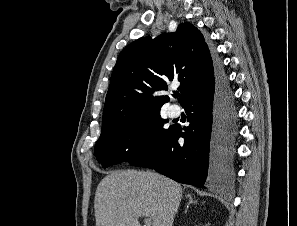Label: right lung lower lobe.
Listing matches in <instances>:
<instances>
[{
	"mask_svg": "<svg viewBox=\"0 0 297 226\" xmlns=\"http://www.w3.org/2000/svg\"><path fill=\"white\" fill-rule=\"evenodd\" d=\"M183 104L190 122L185 132L173 126L154 150L129 163L199 188L228 182L234 175L237 115L228 79L219 63H215L213 84ZM180 137L184 138L183 145L178 143Z\"/></svg>",
	"mask_w": 297,
	"mask_h": 226,
	"instance_id": "obj_1",
	"label": "right lung lower lobe"
}]
</instances>
